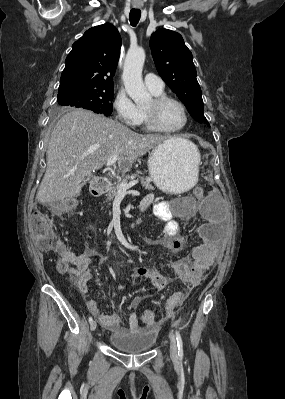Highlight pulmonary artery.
<instances>
[{
  "mask_svg": "<svg viewBox=\"0 0 285 399\" xmlns=\"http://www.w3.org/2000/svg\"><path fill=\"white\" fill-rule=\"evenodd\" d=\"M144 81L147 88L151 92H159L162 91L164 88V83L162 79L153 73H147L144 77Z\"/></svg>",
  "mask_w": 285,
  "mask_h": 399,
  "instance_id": "e3ab8cb5",
  "label": "pulmonary artery"
}]
</instances>
